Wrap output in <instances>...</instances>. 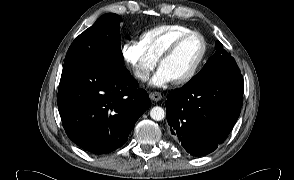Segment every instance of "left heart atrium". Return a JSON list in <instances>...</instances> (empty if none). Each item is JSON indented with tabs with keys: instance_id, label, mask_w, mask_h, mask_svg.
I'll list each match as a JSON object with an SVG mask.
<instances>
[{
	"instance_id": "left-heart-atrium-1",
	"label": "left heart atrium",
	"mask_w": 294,
	"mask_h": 180,
	"mask_svg": "<svg viewBox=\"0 0 294 180\" xmlns=\"http://www.w3.org/2000/svg\"><path fill=\"white\" fill-rule=\"evenodd\" d=\"M173 80L170 75L160 66L150 83L155 86H163L171 83Z\"/></svg>"
}]
</instances>
